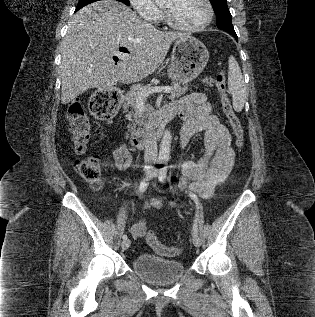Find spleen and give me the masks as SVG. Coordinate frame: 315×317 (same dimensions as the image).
<instances>
[{
    "label": "spleen",
    "instance_id": "1",
    "mask_svg": "<svg viewBox=\"0 0 315 317\" xmlns=\"http://www.w3.org/2000/svg\"><path fill=\"white\" fill-rule=\"evenodd\" d=\"M228 65V89L232 94L234 110L240 112L246 102L248 91L244 83L241 69L232 55L229 57Z\"/></svg>",
    "mask_w": 315,
    "mask_h": 317
}]
</instances>
